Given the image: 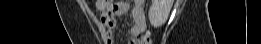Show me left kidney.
<instances>
[{
    "label": "left kidney",
    "mask_w": 261,
    "mask_h": 44,
    "mask_svg": "<svg viewBox=\"0 0 261 44\" xmlns=\"http://www.w3.org/2000/svg\"><path fill=\"white\" fill-rule=\"evenodd\" d=\"M173 0H152V4L149 8L148 17L152 26H162L170 13Z\"/></svg>",
    "instance_id": "1"
}]
</instances>
